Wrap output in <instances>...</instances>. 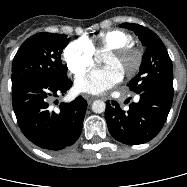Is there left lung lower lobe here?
I'll use <instances>...</instances> for the list:
<instances>
[{
  "label": "left lung lower lobe",
  "instance_id": "0a47b994",
  "mask_svg": "<svg viewBox=\"0 0 187 187\" xmlns=\"http://www.w3.org/2000/svg\"><path fill=\"white\" fill-rule=\"evenodd\" d=\"M139 101L124 111L116 101L106 103L108 130L117 141L143 144L153 139L163 127L170 111L173 93L148 90L137 93Z\"/></svg>",
  "mask_w": 187,
  "mask_h": 187
}]
</instances>
